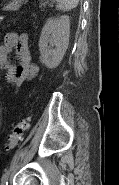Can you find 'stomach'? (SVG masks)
Returning <instances> with one entry per match:
<instances>
[{"label": "stomach", "instance_id": "1", "mask_svg": "<svg viewBox=\"0 0 119 185\" xmlns=\"http://www.w3.org/2000/svg\"><path fill=\"white\" fill-rule=\"evenodd\" d=\"M26 0H11L9 4H7L6 7H4L5 10H18L21 6V4Z\"/></svg>", "mask_w": 119, "mask_h": 185}]
</instances>
